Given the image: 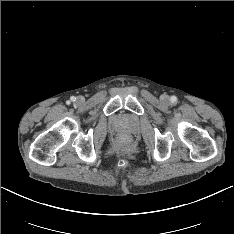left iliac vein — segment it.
Here are the masks:
<instances>
[{
    "label": "left iliac vein",
    "instance_id": "left-iliac-vein-1",
    "mask_svg": "<svg viewBox=\"0 0 234 234\" xmlns=\"http://www.w3.org/2000/svg\"><path fill=\"white\" fill-rule=\"evenodd\" d=\"M161 101L163 103H168L169 102V96L168 95H162L161 96Z\"/></svg>",
    "mask_w": 234,
    "mask_h": 234
}]
</instances>
